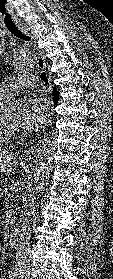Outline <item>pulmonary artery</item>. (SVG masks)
Wrapping results in <instances>:
<instances>
[{
  "mask_svg": "<svg viewBox=\"0 0 113 279\" xmlns=\"http://www.w3.org/2000/svg\"><path fill=\"white\" fill-rule=\"evenodd\" d=\"M38 86L36 79L27 73L13 74L0 84V92L9 98L23 90H31Z\"/></svg>",
  "mask_w": 113,
  "mask_h": 279,
  "instance_id": "pulmonary-artery-1",
  "label": "pulmonary artery"
}]
</instances>
